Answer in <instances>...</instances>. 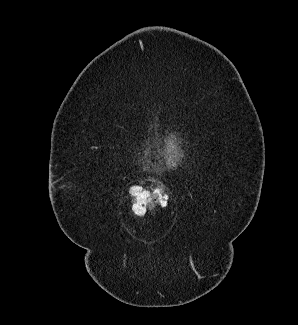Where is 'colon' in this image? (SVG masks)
Masks as SVG:
<instances>
[{
  "label": "colon",
  "instance_id": "colon-1",
  "mask_svg": "<svg viewBox=\"0 0 298 325\" xmlns=\"http://www.w3.org/2000/svg\"><path fill=\"white\" fill-rule=\"evenodd\" d=\"M131 200L133 211L138 215H145L166 204L167 192L163 187L147 188L137 185L131 190Z\"/></svg>",
  "mask_w": 298,
  "mask_h": 325
}]
</instances>
